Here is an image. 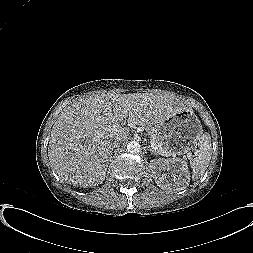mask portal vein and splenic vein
I'll list each match as a JSON object with an SVG mask.
<instances>
[{"label": "portal vein and splenic vein", "mask_w": 253, "mask_h": 253, "mask_svg": "<svg viewBox=\"0 0 253 253\" xmlns=\"http://www.w3.org/2000/svg\"><path fill=\"white\" fill-rule=\"evenodd\" d=\"M151 147L155 150L158 151L161 149V145L157 144L156 142H154L153 140L150 141ZM165 156H170L171 154H169L168 152H164ZM192 155L188 154L187 157L190 158Z\"/></svg>", "instance_id": "obj_1"}]
</instances>
